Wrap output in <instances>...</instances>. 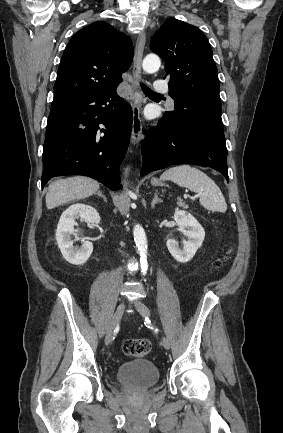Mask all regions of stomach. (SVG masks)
Segmentation results:
<instances>
[{
	"mask_svg": "<svg viewBox=\"0 0 283 433\" xmlns=\"http://www.w3.org/2000/svg\"><path fill=\"white\" fill-rule=\"evenodd\" d=\"M152 184H161L157 178H152Z\"/></svg>",
	"mask_w": 283,
	"mask_h": 433,
	"instance_id": "0dacf381",
	"label": "stomach"
}]
</instances>
